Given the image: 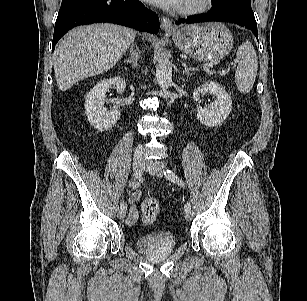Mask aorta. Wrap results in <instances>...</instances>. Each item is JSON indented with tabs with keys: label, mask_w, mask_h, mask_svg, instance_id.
I'll use <instances>...</instances> for the list:
<instances>
[{
	"label": "aorta",
	"mask_w": 307,
	"mask_h": 301,
	"mask_svg": "<svg viewBox=\"0 0 307 301\" xmlns=\"http://www.w3.org/2000/svg\"><path fill=\"white\" fill-rule=\"evenodd\" d=\"M156 78L162 91H166L172 84V66L169 58L161 54L156 65Z\"/></svg>",
	"instance_id": "762f6f07"
}]
</instances>
